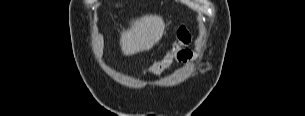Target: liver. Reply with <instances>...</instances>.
<instances>
[{"label":"liver","mask_w":305,"mask_h":116,"mask_svg":"<svg viewBox=\"0 0 305 116\" xmlns=\"http://www.w3.org/2000/svg\"><path fill=\"white\" fill-rule=\"evenodd\" d=\"M163 30L164 21L158 15H145L133 20L130 28L121 32L120 46L123 54L129 56L149 51L159 41ZM92 46L96 57L101 58L104 47L103 36H94Z\"/></svg>","instance_id":"6515ba94"}]
</instances>
